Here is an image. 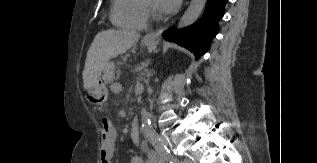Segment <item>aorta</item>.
Segmentation results:
<instances>
[{"label":"aorta","mask_w":317,"mask_h":163,"mask_svg":"<svg viewBox=\"0 0 317 163\" xmlns=\"http://www.w3.org/2000/svg\"><path fill=\"white\" fill-rule=\"evenodd\" d=\"M207 0H191L187 10L177 24V28L181 29L193 24L201 15L205 8ZM142 123L147 126L150 124L149 115L145 108L141 111Z\"/></svg>","instance_id":"1"}]
</instances>
